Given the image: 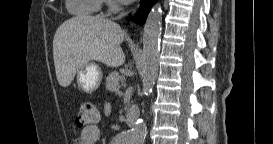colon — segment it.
Segmentation results:
<instances>
[{"instance_id": "5ec220e1", "label": "colon", "mask_w": 273, "mask_h": 144, "mask_svg": "<svg viewBox=\"0 0 273 144\" xmlns=\"http://www.w3.org/2000/svg\"><path fill=\"white\" fill-rule=\"evenodd\" d=\"M98 110L90 101L82 102L76 116V126L80 129L93 126L98 121Z\"/></svg>"}]
</instances>
